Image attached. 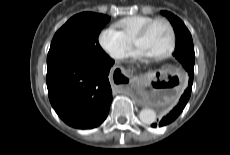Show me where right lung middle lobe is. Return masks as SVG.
I'll list each match as a JSON object with an SVG mask.
<instances>
[{
    "mask_svg": "<svg viewBox=\"0 0 230 155\" xmlns=\"http://www.w3.org/2000/svg\"><path fill=\"white\" fill-rule=\"evenodd\" d=\"M110 18L83 12L70 18L54 35L47 65L59 62H91L108 57L98 42L101 29Z\"/></svg>",
    "mask_w": 230,
    "mask_h": 155,
    "instance_id": "dd1d6c3e",
    "label": "right lung middle lobe"
}]
</instances>
